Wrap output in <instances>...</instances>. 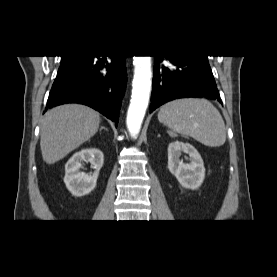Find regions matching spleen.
<instances>
[{
    "instance_id": "1",
    "label": "spleen",
    "mask_w": 277,
    "mask_h": 277,
    "mask_svg": "<svg viewBox=\"0 0 277 277\" xmlns=\"http://www.w3.org/2000/svg\"><path fill=\"white\" fill-rule=\"evenodd\" d=\"M158 120L183 136L202 144L218 147L226 141L223 118L216 107L205 99H178L163 105Z\"/></svg>"
}]
</instances>
